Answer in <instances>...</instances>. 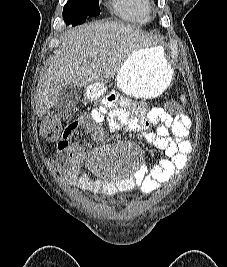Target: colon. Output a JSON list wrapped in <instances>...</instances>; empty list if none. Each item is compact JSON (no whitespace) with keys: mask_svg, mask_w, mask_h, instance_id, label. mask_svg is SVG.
<instances>
[{"mask_svg":"<svg viewBox=\"0 0 227 267\" xmlns=\"http://www.w3.org/2000/svg\"><path fill=\"white\" fill-rule=\"evenodd\" d=\"M168 113H177L180 111V106L176 102L171 100H164ZM65 119L64 114L52 113L47 115L40 124V134L44 139L51 141H58V144L62 142L63 136V121Z\"/></svg>","mask_w":227,"mask_h":267,"instance_id":"1","label":"colon"}]
</instances>
